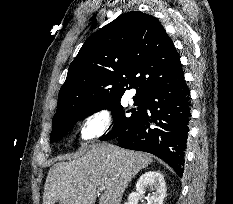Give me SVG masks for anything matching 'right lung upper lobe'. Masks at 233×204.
<instances>
[{"label": "right lung upper lobe", "instance_id": "obj_1", "mask_svg": "<svg viewBox=\"0 0 233 204\" xmlns=\"http://www.w3.org/2000/svg\"><path fill=\"white\" fill-rule=\"evenodd\" d=\"M178 62L174 44L157 18L139 11L122 14L93 33L70 64L53 123L121 99L131 88H136L135 96H145ZM106 86L110 88L103 89Z\"/></svg>", "mask_w": 233, "mask_h": 204}]
</instances>
